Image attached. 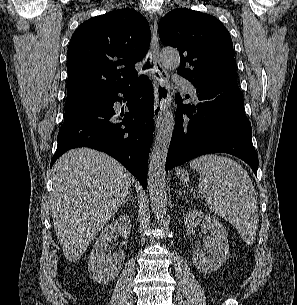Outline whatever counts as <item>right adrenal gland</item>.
<instances>
[{"label": "right adrenal gland", "mask_w": 297, "mask_h": 305, "mask_svg": "<svg viewBox=\"0 0 297 305\" xmlns=\"http://www.w3.org/2000/svg\"><path fill=\"white\" fill-rule=\"evenodd\" d=\"M128 200H131L132 202H134V198L132 197V190L129 191L127 198L123 202V206L126 204V202Z\"/></svg>", "instance_id": "right-adrenal-gland-1"}]
</instances>
